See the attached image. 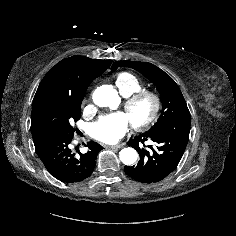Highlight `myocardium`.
<instances>
[{"mask_svg":"<svg viewBox=\"0 0 236 236\" xmlns=\"http://www.w3.org/2000/svg\"><path fill=\"white\" fill-rule=\"evenodd\" d=\"M142 100H149L151 102V111L146 118L141 121L130 120L133 128L137 130L145 129L151 126L159 117L161 111V98L152 91L142 89L126 97L123 107L127 114L133 109V107Z\"/></svg>","mask_w":236,"mask_h":236,"instance_id":"f54148a6","label":"myocardium"}]
</instances>
